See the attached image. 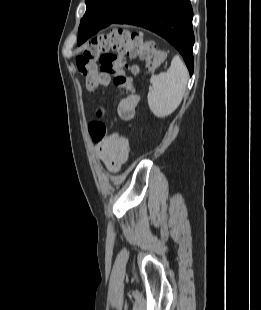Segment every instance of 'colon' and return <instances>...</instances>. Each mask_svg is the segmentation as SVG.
Instances as JSON below:
<instances>
[{"instance_id": "obj_1", "label": "colon", "mask_w": 261, "mask_h": 310, "mask_svg": "<svg viewBox=\"0 0 261 310\" xmlns=\"http://www.w3.org/2000/svg\"><path fill=\"white\" fill-rule=\"evenodd\" d=\"M125 56L144 60L148 71L157 70L163 60V54L150 43L143 42L138 33L124 29H113L102 34L76 56L78 71L86 78L90 90L109 82V76L114 78V84L122 90L132 91V79L126 73ZM136 72V68H132ZM104 109L97 110V119L89 125V132L94 140L107 135V125L102 120Z\"/></svg>"}]
</instances>
